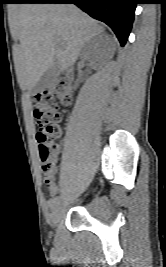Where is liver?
Masks as SVG:
<instances>
[{"instance_id":"obj_1","label":"liver","mask_w":166,"mask_h":267,"mask_svg":"<svg viewBox=\"0 0 166 267\" xmlns=\"http://www.w3.org/2000/svg\"><path fill=\"white\" fill-rule=\"evenodd\" d=\"M103 32L98 22L73 4H23L12 33L20 44L15 68L20 87L31 91L54 61L63 73L90 38ZM62 40L57 45L56 39Z\"/></svg>"}]
</instances>
